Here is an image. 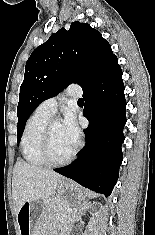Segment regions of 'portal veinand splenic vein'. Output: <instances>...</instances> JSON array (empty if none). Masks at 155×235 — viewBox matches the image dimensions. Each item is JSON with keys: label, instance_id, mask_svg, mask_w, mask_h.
Returning <instances> with one entry per match:
<instances>
[{"label": "portal vein and splenic vein", "instance_id": "18ae733b", "mask_svg": "<svg viewBox=\"0 0 155 235\" xmlns=\"http://www.w3.org/2000/svg\"><path fill=\"white\" fill-rule=\"evenodd\" d=\"M67 211H68V212H72L73 209H72V208H67Z\"/></svg>", "mask_w": 155, "mask_h": 235}]
</instances>
